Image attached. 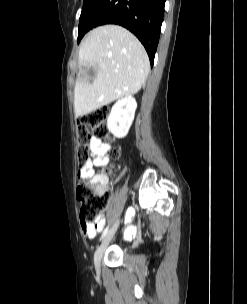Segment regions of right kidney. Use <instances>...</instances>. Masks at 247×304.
Returning <instances> with one entry per match:
<instances>
[{"instance_id": "1", "label": "right kidney", "mask_w": 247, "mask_h": 304, "mask_svg": "<svg viewBox=\"0 0 247 304\" xmlns=\"http://www.w3.org/2000/svg\"><path fill=\"white\" fill-rule=\"evenodd\" d=\"M137 102L132 96L118 100L107 119L108 130L117 138H124L134 120Z\"/></svg>"}]
</instances>
